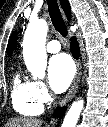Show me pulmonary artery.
<instances>
[{
  "instance_id": "obj_1",
  "label": "pulmonary artery",
  "mask_w": 108,
  "mask_h": 127,
  "mask_svg": "<svg viewBox=\"0 0 108 127\" xmlns=\"http://www.w3.org/2000/svg\"><path fill=\"white\" fill-rule=\"evenodd\" d=\"M60 49H61V45H60L59 41H57V40H52V41L48 42L46 45V50L49 53H57L60 51Z\"/></svg>"
}]
</instances>
